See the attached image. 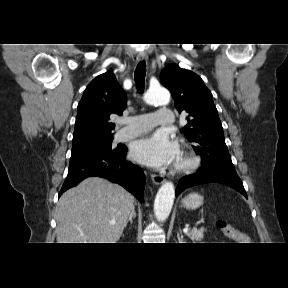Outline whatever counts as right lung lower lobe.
<instances>
[{
  "instance_id": "98d812e1",
  "label": "right lung lower lobe",
  "mask_w": 288,
  "mask_h": 288,
  "mask_svg": "<svg viewBox=\"0 0 288 288\" xmlns=\"http://www.w3.org/2000/svg\"><path fill=\"white\" fill-rule=\"evenodd\" d=\"M126 153L127 147L124 146L113 153L96 154L76 162H70L68 175L59 196L83 179L98 176L118 183L142 202L145 175L142 169L125 160Z\"/></svg>"
}]
</instances>
